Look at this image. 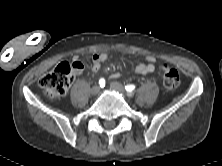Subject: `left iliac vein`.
I'll use <instances>...</instances> for the list:
<instances>
[{"label":"left iliac vein","mask_w":222,"mask_h":166,"mask_svg":"<svg viewBox=\"0 0 222 166\" xmlns=\"http://www.w3.org/2000/svg\"><path fill=\"white\" fill-rule=\"evenodd\" d=\"M110 87L112 90L117 91L121 94L125 93L124 87L119 82H116V81L111 82ZM128 96H132V94H128Z\"/></svg>","instance_id":"obj_1"}]
</instances>
